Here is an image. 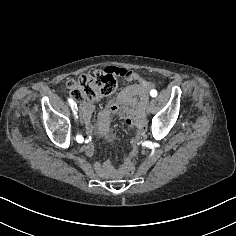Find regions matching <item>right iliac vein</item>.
I'll use <instances>...</instances> for the list:
<instances>
[{
    "label": "right iliac vein",
    "instance_id": "obj_1",
    "mask_svg": "<svg viewBox=\"0 0 236 236\" xmlns=\"http://www.w3.org/2000/svg\"><path fill=\"white\" fill-rule=\"evenodd\" d=\"M79 117H80V124L81 126H84L83 124V114H82V109H79Z\"/></svg>",
    "mask_w": 236,
    "mask_h": 236
}]
</instances>
